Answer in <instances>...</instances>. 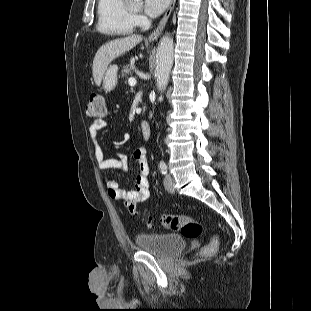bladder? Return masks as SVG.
Segmentation results:
<instances>
[{"mask_svg": "<svg viewBox=\"0 0 311 311\" xmlns=\"http://www.w3.org/2000/svg\"><path fill=\"white\" fill-rule=\"evenodd\" d=\"M135 244L140 251L150 252L161 259H169L186 247L184 236L178 234H139Z\"/></svg>", "mask_w": 311, "mask_h": 311, "instance_id": "bladder-1", "label": "bladder"}]
</instances>
